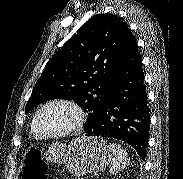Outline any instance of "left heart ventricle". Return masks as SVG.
Masks as SVG:
<instances>
[{
	"instance_id": "obj_1",
	"label": "left heart ventricle",
	"mask_w": 183,
	"mask_h": 179,
	"mask_svg": "<svg viewBox=\"0 0 183 179\" xmlns=\"http://www.w3.org/2000/svg\"><path fill=\"white\" fill-rule=\"evenodd\" d=\"M74 119V113L70 108L63 105H53L43 112L40 126L44 133H58L69 128Z\"/></svg>"
}]
</instances>
